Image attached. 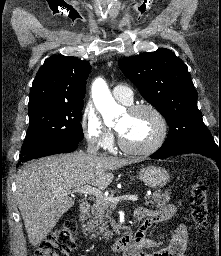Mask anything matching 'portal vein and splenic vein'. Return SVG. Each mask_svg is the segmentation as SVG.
Returning <instances> with one entry per match:
<instances>
[{
	"label": "portal vein and splenic vein",
	"mask_w": 221,
	"mask_h": 256,
	"mask_svg": "<svg viewBox=\"0 0 221 256\" xmlns=\"http://www.w3.org/2000/svg\"><path fill=\"white\" fill-rule=\"evenodd\" d=\"M75 192L83 193L86 195H93L96 198H104L108 202H110V204L113 206H115L119 201H122V200L133 201V202L139 200L138 196H136V195H124V196H120V197H105L103 195V192L100 189L92 187L90 185H84L83 187H80L76 190L68 192V194H70V193L72 194Z\"/></svg>",
	"instance_id": "18ae733b"
}]
</instances>
